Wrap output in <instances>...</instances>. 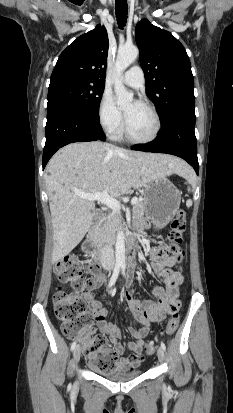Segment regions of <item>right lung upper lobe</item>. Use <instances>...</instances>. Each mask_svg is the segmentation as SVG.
Segmentation results:
<instances>
[{
    "mask_svg": "<svg viewBox=\"0 0 233 413\" xmlns=\"http://www.w3.org/2000/svg\"><path fill=\"white\" fill-rule=\"evenodd\" d=\"M108 55V35L104 26L78 37L59 56L51 81L78 79L105 84Z\"/></svg>",
    "mask_w": 233,
    "mask_h": 413,
    "instance_id": "1",
    "label": "right lung upper lobe"
}]
</instances>
